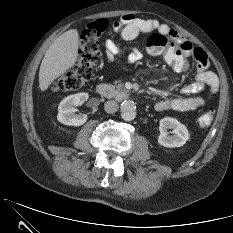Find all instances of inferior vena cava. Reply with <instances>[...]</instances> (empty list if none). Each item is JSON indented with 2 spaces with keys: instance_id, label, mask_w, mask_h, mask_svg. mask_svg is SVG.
<instances>
[{
  "instance_id": "inferior-vena-cava-1",
  "label": "inferior vena cava",
  "mask_w": 233,
  "mask_h": 233,
  "mask_svg": "<svg viewBox=\"0 0 233 233\" xmlns=\"http://www.w3.org/2000/svg\"><path fill=\"white\" fill-rule=\"evenodd\" d=\"M118 108V103L114 100H109L104 104V109L109 114L115 113Z\"/></svg>"
}]
</instances>
